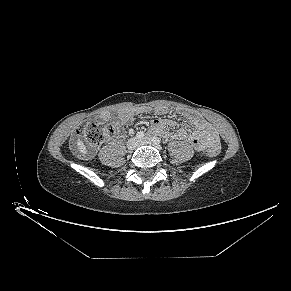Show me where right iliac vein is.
<instances>
[{"mask_svg": "<svg viewBox=\"0 0 291 291\" xmlns=\"http://www.w3.org/2000/svg\"><path fill=\"white\" fill-rule=\"evenodd\" d=\"M138 146V140L136 138H131L127 142L128 150H134Z\"/></svg>", "mask_w": 291, "mask_h": 291, "instance_id": "63e3f726", "label": "right iliac vein"}]
</instances>
